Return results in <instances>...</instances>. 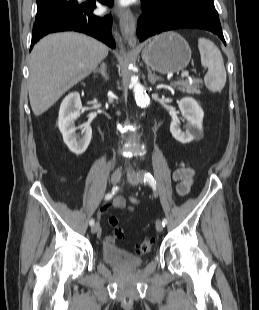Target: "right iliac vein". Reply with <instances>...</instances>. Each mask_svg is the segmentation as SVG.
Instances as JSON below:
<instances>
[{
  "mask_svg": "<svg viewBox=\"0 0 259 310\" xmlns=\"http://www.w3.org/2000/svg\"><path fill=\"white\" fill-rule=\"evenodd\" d=\"M120 179H121V168H117L111 175V183L115 185L120 181ZM98 229H99V223H95L91 227V232L95 234L98 231Z\"/></svg>",
  "mask_w": 259,
  "mask_h": 310,
  "instance_id": "obj_1",
  "label": "right iliac vein"
}]
</instances>
